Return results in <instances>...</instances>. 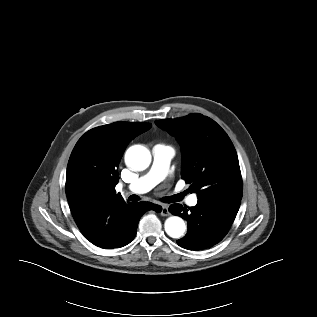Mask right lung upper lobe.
Here are the masks:
<instances>
[{"label":"right lung upper lobe","mask_w":317,"mask_h":317,"mask_svg":"<svg viewBox=\"0 0 317 317\" xmlns=\"http://www.w3.org/2000/svg\"><path fill=\"white\" fill-rule=\"evenodd\" d=\"M151 124L115 122L86 132L76 143L67 166L66 195L69 204L85 197L102 204L125 202L116 193L118 165L129 142Z\"/></svg>","instance_id":"cb5924a9"}]
</instances>
